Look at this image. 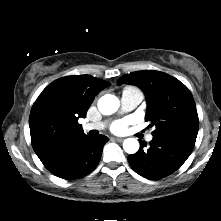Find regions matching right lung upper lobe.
Here are the masks:
<instances>
[{
	"instance_id": "obj_1",
	"label": "right lung upper lobe",
	"mask_w": 221,
	"mask_h": 221,
	"mask_svg": "<svg viewBox=\"0 0 221 221\" xmlns=\"http://www.w3.org/2000/svg\"><path fill=\"white\" fill-rule=\"evenodd\" d=\"M108 86L109 82L89 75L66 76L42 91L32 106L29 126L33 149L43 164L85 135L78 119L86 117L94 97Z\"/></svg>"
}]
</instances>
